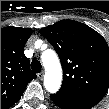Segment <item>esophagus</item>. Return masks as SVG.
I'll return each instance as SVG.
<instances>
[{"instance_id":"34e87169","label":"esophagus","mask_w":109,"mask_h":109,"mask_svg":"<svg viewBox=\"0 0 109 109\" xmlns=\"http://www.w3.org/2000/svg\"><path fill=\"white\" fill-rule=\"evenodd\" d=\"M37 77H38L40 80H42L43 77H44V72L38 73V74H37Z\"/></svg>"}]
</instances>
